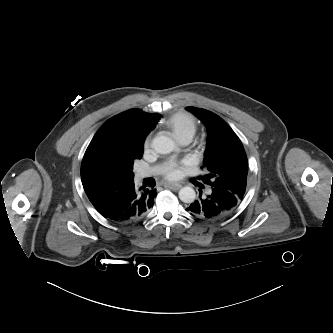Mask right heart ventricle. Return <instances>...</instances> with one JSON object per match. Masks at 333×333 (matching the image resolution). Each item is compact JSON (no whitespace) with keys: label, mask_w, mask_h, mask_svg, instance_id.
<instances>
[{"label":"right heart ventricle","mask_w":333,"mask_h":333,"mask_svg":"<svg viewBox=\"0 0 333 333\" xmlns=\"http://www.w3.org/2000/svg\"><path fill=\"white\" fill-rule=\"evenodd\" d=\"M165 125L179 141L185 137L192 138L196 131L194 118L185 112L172 115L165 121Z\"/></svg>","instance_id":"obj_1"}]
</instances>
